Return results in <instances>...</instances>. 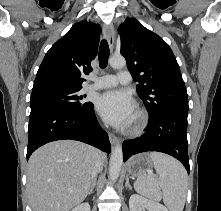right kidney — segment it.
Wrapping results in <instances>:
<instances>
[{
    "label": "right kidney",
    "mask_w": 221,
    "mask_h": 211,
    "mask_svg": "<svg viewBox=\"0 0 221 211\" xmlns=\"http://www.w3.org/2000/svg\"><path fill=\"white\" fill-rule=\"evenodd\" d=\"M71 211H90V205L88 203H82V204L76 206Z\"/></svg>",
    "instance_id": "1"
}]
</instances>
